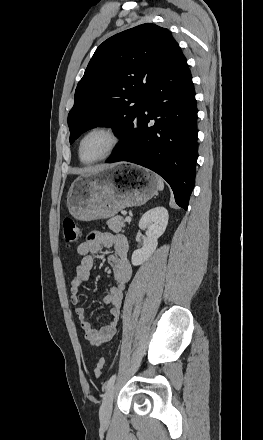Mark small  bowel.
I'll return each instance as SVG.
<instances>
[{"mask_svg": "<svg viewBox=\"0 0 263 440\" xmlns=\"http://www.w3.org/2000/svg\"><path fill=\"white\" fill-rule=\"evenodd\" d=\"M114 248V254L108 257V264L113 274V285L104 296L103 301L108 305L112 320L106 326L96 329L87 317L83 306L76 307V314L85 333V338L94 346H101L110 341L116 334L117 324L121 315V302L126 285L131 278L132 268L128 260L129 245L127 239L120 234L93 231L77 247L81 261L77 265L70 286V301L74 305L80 303V288L89 280L95 266L94 255L102 248Z\"/></svg>", "mask_w": 263, "mask_h": 440, "instance_id": "small-bowel-1", "label": "small bowel"}]
</instances>
